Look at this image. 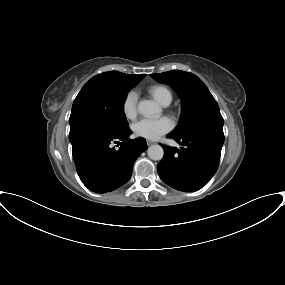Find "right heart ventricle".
Returning <instances> with one entry per match:
<instances>
[{
  "instance_id": "1",
  "label": "right heart ventricle",
  "mask_w": 285,
  "mask_h": 285,
  "mask_svg": "<svg viewBox=\"0 0 285 285\" xmlns=\"http://www.w3.org/2000/svg\"><path fill=\"white\" fill-rule=\"evenodd\" d=\"M148 92L157 102L164 106L170 104L173 99L171 89L162 84L150 86Z\"/></svg>"
}]
</instances>
